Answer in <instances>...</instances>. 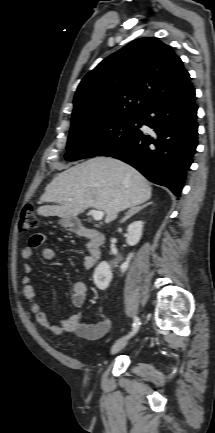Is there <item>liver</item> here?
<instances>
[{
    "label": "liver",
    "instance_id": "liver-1",
    "mask_svg": "<svg viewBox=\"0 0 215 433\" xmlns=\"http://www.w3.org/2000/svg\"><path fill=\"white\" fill-rule=\"evenodd\" d=\"M151 195V186L136 169L118 159L100 156L59 173L40 198L41 203L59 206H41L37 213L72 219L92 207L104 211L106 222H111L119 212L148 201Z\"/></svg>",
    "mask_w": 215,
    "mask_h": 433
}]
</instances>
